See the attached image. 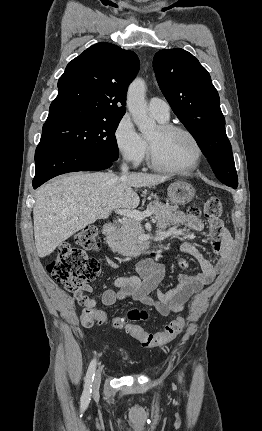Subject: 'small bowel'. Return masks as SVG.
<instances>
[{
    "label": "small bowel",
    "instance_id": "obj_1",
    "mask_svg": "<svg viewBox=\"0 0 262 431\" xmlns=\"http://www.w3.org/2000/svg\"><path fill=\"white\" fill-rule=\"evenodd\" d=\"M173 225L160 224L163 234L175 231L176 225L186 226L193 232L201 231L204 224L197 213H174ZM210 228L209 236L213 247V253L217 262H212L191 242L180 244V250L192 256L201 268L200 273H183L178 282L167 291H160L159 285L164 276V266L151 258L140 260L136 265L138 277H117L114 280L116 289H107L102 295L104 306H112L117 302L130 300L153 307L161 316L182 311L187 302L195 294L201 292L219 274L227 261L231 249V236L221 219H208ZM106 264L116 268L114 260L107 258ZM91 287L74 292L73 299L82 306V315L88 313L91 316L106 320L107 315L96 309V301L88 295ZM156 293L153 297L152 293ZM81 315V316H82Z\"/></svg>",
    "mask_w": 262,
    "mask_h": 431
}]
</instances>
